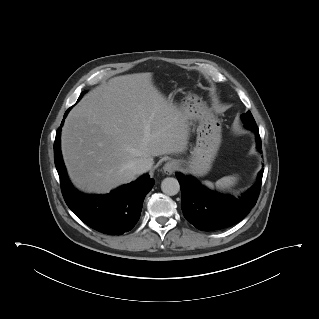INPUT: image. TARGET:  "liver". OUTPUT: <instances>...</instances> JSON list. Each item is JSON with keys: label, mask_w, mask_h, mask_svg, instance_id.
Wrapping results in <instances>:
<instances>
[{"label": "liver", "mask_w": 319, "mask_h": 319, "mask_svg": "<svg viewBox=\"0 0 319 319\" xmlns=\"http://www.w3.org/2000/svg\"><path fill=\"white\" fill-rule=\"evenodd\" d=\"M152 75L111 78L68 114L61 149L69 177L80 190L108 193L136 178L130 168L136 159L185 151L188 116L166 100Z\"/></svg>", "instance_id": "liver-1"}]
</instances>
